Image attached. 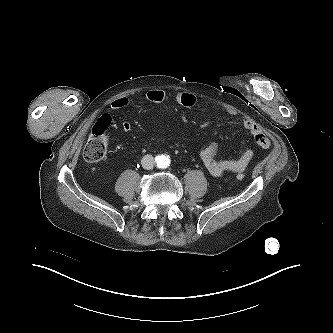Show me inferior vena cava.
<instances>
[{"mask_svg":"<svg viewBox=\"0 0 333 333\" xmlns=\"http://www.w3.org/2000/svg\"><path fill=\"white\" fill-rule=\"evenodd\" d=\"M142 167L144 169H152L154 167V158L152 155L147 154L141 160Z\"/></svg>","mask_w":333,"mask_h":333,"instance_id":"602c4592","label":"inferior vena cava"}]
</instances>
